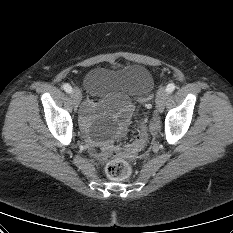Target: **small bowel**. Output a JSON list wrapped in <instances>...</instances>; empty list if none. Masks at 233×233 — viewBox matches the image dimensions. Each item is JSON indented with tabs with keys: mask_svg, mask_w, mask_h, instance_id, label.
I'll return each mask as SVG.
<instances>
[{
	"mask_svg": "<svg viewBox=\"0 0 233 233\" xmlns=\"http://www.w3.org/2000/svg\"><path fill=\"white\" fill-rule=\"evenodd\" d=\"M97 108L96 103L93 101H87L83 107V116H82V122L84 124H88L92 115L94 114L95 110Z\"/></svg>",
	"mask_w": 233,
	"mask_h": 233,
	"instance_id": "obj_1",
	"label": "small bowel"
}]
</instances>
